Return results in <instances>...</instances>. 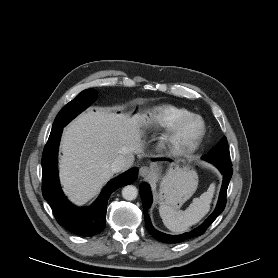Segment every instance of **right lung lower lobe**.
<instances>
[{
	"label": "right lung lower lobe",
	"instance_id": "obj_1",
	"mask_svg": "<svg viewBox=\"0 0 278 278\" xmlns=\"http://www.w3.org/2000/svg\"><path fill=\"white\" fill-rule=\"evenodd\" d=\"M62 129L51 131L42 155V193L50 204L58 223L80 236H93L105 228L108 199L116 189L132 184L138 175L136 168L111 180L95 203L88 208L72 205L64 196L58 179L57 154Z\"/></svg>",
	"mask_w": 278,
	"mask_h": 278
}]
</instances>
